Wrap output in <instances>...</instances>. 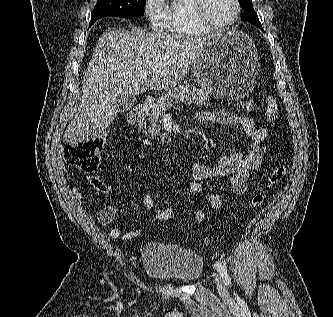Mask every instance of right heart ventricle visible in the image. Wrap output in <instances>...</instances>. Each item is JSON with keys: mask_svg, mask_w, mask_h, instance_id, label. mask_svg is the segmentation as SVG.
Instances as JSON below:
<instances>
[{"mask_svg": "<svg viewBox=\"0 0 333 317\" xmlns=\"http://www.w3.org/2000/svg\"><path fill=\"white\" fill-rule=\"evenodd\" d=\"M190 5L191 0H173L164 8L165 30L168 34L179 38H193L209 32L195 23Z\"/></svg>", "mask_w": 333, "mask_h": 317, "instance_id": "e07e8e85", "label": "right heart ventricle"}]
</instances>
